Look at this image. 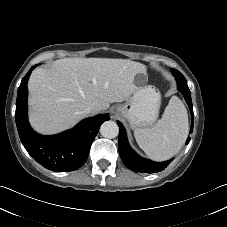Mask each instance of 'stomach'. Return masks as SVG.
<instances>
[{
  "mask_svg": "<svg viewBox=\"0 0 227 227\" xmlns=\"http://www.w3.org/2000/svg\"><path fill=\"white\" fill-rule=\"evenodd\" d=\"M136 79V90L123 104L116 106L119 115L126 118L132 128L147 127L152 125L159 113L161 95L151 85L144 82L145 75Z\"/></svg>",
  "mask_w": 227,
  "mask_h": 227,
  "instance_id": "stomach-1",
  "label": "stomach"
}]
</instances>
